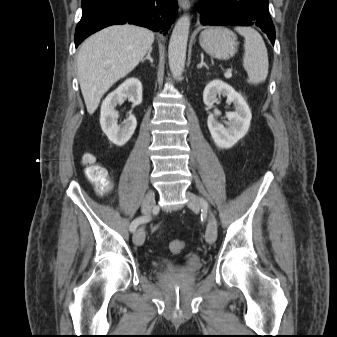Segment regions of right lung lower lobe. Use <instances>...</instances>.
I'll list each match as a JSON object with an SVG mask.
<instances>
[{
    "mask_svg": "<svg viewBox=\"0 0 337 337\" xmlns=\"http://www.w3.org/2000/svg\"><path fill=\"white\" fill-rule=\"evenodd\" d=\"M75 46L94 32L115 24H135L166 34L177 15V0H82Z\"/></svg>",
    "mask_w": 337,
    "mask_h": 337,
    "instance_id": "98d812e1",
    "label": "right lung lower lobe"
}]
</instances>
